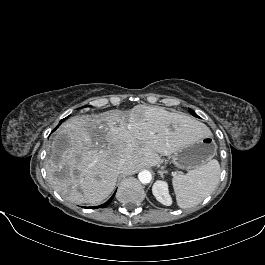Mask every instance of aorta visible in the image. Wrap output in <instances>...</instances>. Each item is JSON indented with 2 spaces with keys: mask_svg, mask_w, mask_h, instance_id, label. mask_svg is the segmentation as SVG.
Returning a JSON list of instances; mask_svg holds the SVG:
<instances>
[{
  "mask_svg": "<svg viewBox=\"0 0 265 265\" xmlns=\"http://www.w3.org/2000/svg\"><path fill=\"white\" fill-rule=\"evenodd\" d=\"M138 179L142 184H148L152 180V174L148 170H142L138 174Z\"/></svg>",
  "mask_w": 265,
  "mask_h": 265,
  "instance_id": "aorta-1",
  "label": "aorta"
}]
</instances>
